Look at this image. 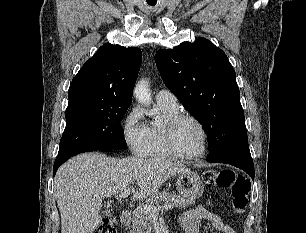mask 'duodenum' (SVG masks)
Returning a JSON list of instances; mask_svg holds the SVG:
<instances>
[{
	"instance_id": "1",
	"label": "duodenum",
	"mask_w": 306,
	"mask_h": 233,
	"mask_svg": "<svg viewBox=\"0 0 306 233\" xmlns=\"http://www.w3.org/2000/svg\"><path fill=\"white\" fill-rule=\"evenodd\" d=\"M132 220V214L129 210H123L120 215V221L122 225L128 226L131 223Z\"/></svg>"
}]
</instances>
